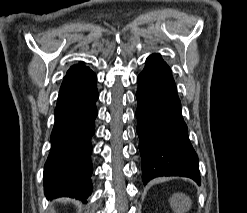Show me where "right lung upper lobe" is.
I'll use <instances>...</instances> for the list:
<instances>
[{
  "label": "right lung upper lobe",
  "mask_w": 247,
  "mask_h": 213,
  "mask_svg": "<svg viewBox=\"0 0 247 213\" xmlns=\"http://www.w3.org/2000/svg\"><path fill=\"white\" fill-rule=\"evenodd\" d=\"M82 67H84L83 64L73 65V66L70 67V69L68 71L75 70V69L82 68Z\"/></svg>",
  "instance_id": "1"
}]
</instances>
